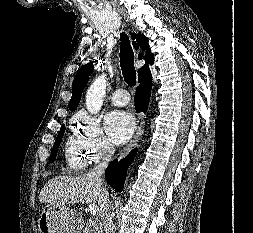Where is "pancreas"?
I'll list each match as a JSON object with an SVG mask.
<instances>
[{
	"instance_id": "cf45deb5",
	"label": "pancreas",
	"mask_w": 253,
	"mask_h": 233,
	"mask_svg": "<svg viewBox=\"0 0 253 233\" xmlns=\"http://www.w3.org/2000/svg\"><path fill=\"white\" fill-rule=\"evenodd\" d=\"M102 231V224L98 218L89 219L83 229V233H103Z\"/></svg>"
}]
</instances>
